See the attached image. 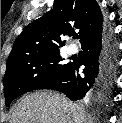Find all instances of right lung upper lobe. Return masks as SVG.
I'll return each instance as SVG.
<instances>
[{
  "mask_svg": "<svg viewBox=\"0 0 122 123\" xmlns=\"http://www.w3.org/2000/svg\"><path fill=\"white\" fill-rule=\"evenodd\" d=\"M103 17L96 0H55L53 9L30 23L13 44L10 67L25 59L58 52L61 36L79 29L80 42L102 28Z\"/></svg>",
  "mask_w": 122,
  "mask_h": 123,
  "instance_id": "right-lung-upper-lobe-1",
  "label": "right lung upper lobe"
}]
</instances>
